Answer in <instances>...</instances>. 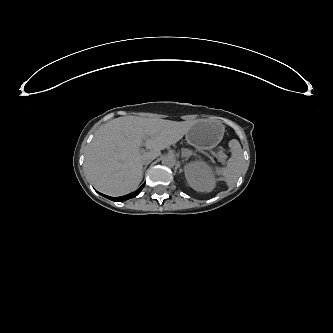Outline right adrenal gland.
Masks as SVG:
<instances>
[{"label":"right adrenal gland","mask_w":333,"mask_h":333,"mask_svg":"<svg viewBox=\"0 0 333 333\" xmlns=\"http://www.w3.org/2000/svg\"><path fill=\"white\" fill-rule=\"evenodd\" d=\"M146 168H147V166H144V167H143V172L146 170Z\"/></svg>","instance_id":"2a0ac1e0"}]
</instances>
